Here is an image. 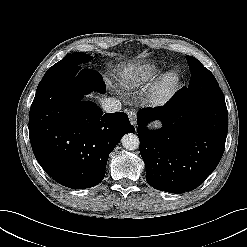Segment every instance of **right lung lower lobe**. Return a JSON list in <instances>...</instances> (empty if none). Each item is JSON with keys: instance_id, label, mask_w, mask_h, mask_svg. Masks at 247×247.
<instances>
[{"instance_id": "right-lung-lower-lobe-1", "label": "right lung lower lobe", "mask_w": 247, "mask_h": 247, "mask_svg": "<svg viewBox=\"0 0 247 247\" xmlns=\"http://www.w3.org/2000/svg\"><path fill=\"white\" fill-rule=\"evenodd\" d=\"M91 90L105 91L102 76L76 66L45 73L29 114V137L44 171L59 184L83 189L104 176L110 152L134 132L126 113H106L83 101Z\"/></svg>"}]
</instances>
